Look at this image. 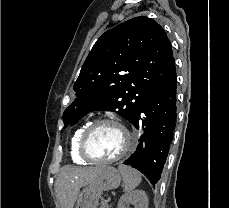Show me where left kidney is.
Listing matches in <instances>:
<instances>
[{
	"label": "left kidney",
	"instance_id": "1",
	"mask_svg": "<svg viewBox=\"0 0 229 208\" xmlns=\"http://www.w3.org/2000/svg\"><path fill=\"white\" fill-rule=\"evenodd\" d=\"M127 204H135V208H148V196L143 190L129 192L120 198L118 208H126Z\"/></svg>",
	"mask_w": 229,
	"mask_h": 208
}]
</instances>
